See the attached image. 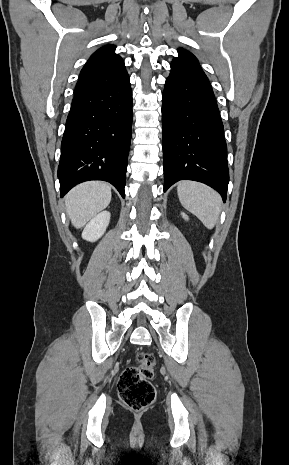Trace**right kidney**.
<instances>
[{
    "instance_id": "ca27d5eb",
    "label": "right kidney",
    "mask_w": 289,
    "mask_h": 465,
    "mask_svg": "<svg viewBox=\"0 0 289 465\" xmlns=\"http://www.w3.org/2000/svg\"><path fill=\"white\" fill-rule=\"evenodd\" d=\"M110 221V212L103 211L92 218L82 232V238L94 242L106 231Z\"/></svg>"
}]
</instances>
